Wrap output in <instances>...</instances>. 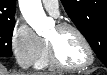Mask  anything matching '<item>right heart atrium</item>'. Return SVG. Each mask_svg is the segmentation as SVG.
I'll list each match as a JSON object with an SVG mask.
<instances>
[{
  "mask_svg": "<svg viewBox=\"0 0 107 75\" xmlns=\"http://www.w3.org/2000/svg\"><path fill=\"white\" fill-rule=\"evenodd\" d=\"M43 40L24 21L17 20L11 34V48L20 66L30 67L37 61Z\"/></svg>",
  "mask_w": 107,
  "mask_h": 75,
  "instance_id": "right-heart-atrium-1",
  "label": "right heart atrium"
}]
</instances>
